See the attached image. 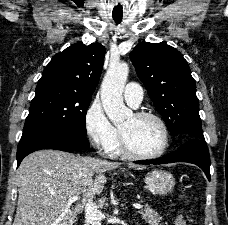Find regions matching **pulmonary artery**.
Masks as SVG:
<instances>
[{"instance_id":"obj_1","label":"pulmonary artery","mask_w":228,"mask_h":225,"mask_svg":"<svg viewBox=\"0 0 228 225\" xmlns=\"http://www.w3.org/2000/svg\"><path fill=\"white\" fill-rule=\"evenodd\" d=\"M142 93L143 90L141 85H126L124 90L126 103L134 108L138 107L143 99Z\"/></svg>"}]
</instances>
